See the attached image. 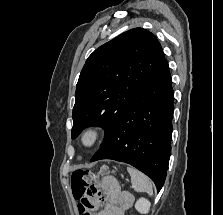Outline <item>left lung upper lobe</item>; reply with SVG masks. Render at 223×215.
<instances>
[{"mask_svg":"<svg viewBox=\"0 0 223 215\" xmlns=\"http://www.w3.org/2000/svg\"><path fill=\"white\" fill-rule=\"evenodd\" d=\"M165 60L155 35L143 28L126 31L97 48L77 83L72 139L84 128L98 125L105 129L104 144Z\"/></svg>","mask_w":223,"mask_h":215,"instance_id":"left-lung-upper-lobe-1","label":"left lung upper lobe"}]
</instances>
